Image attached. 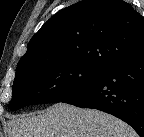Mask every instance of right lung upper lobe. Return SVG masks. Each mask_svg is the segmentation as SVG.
Masks as SVG:
<instances>
[{
    "label": "right lung upper lobe",
    "mask_w": 144,
    "mask_h": 137,
    "mask_svg": "<svg viewBox=\"0 0 144 137\" xmlns=\"http://www.w3.org/2000/svg\"><path fill=\"white\" fill-rule=\"evenodd\" d=\"M144 50V18L122 0H83L32 37L18 66L76 60L108 70Z\"/></svg>",
    "instance_id": "right-lung-upper-lobe-1"
}]
</instances>
